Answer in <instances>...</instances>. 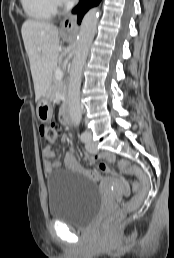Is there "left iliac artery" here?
Returning <instances> with one entry per match:
<instances>
[{"instance_id":"44dca946","label":"left iliac artery","mask_w":174,"mask_h":258,"mask_svg":"<svg viewBox=\"0 0 174 258\" xmlns=\"http://www.w3.org/2000/svg\"><path fill=\"white\" fill-rule=\"evenodd\" d=\"M88 140V134L86 132L81 134V141L82 142H87Z\"/></svg>"}]
</instances>
